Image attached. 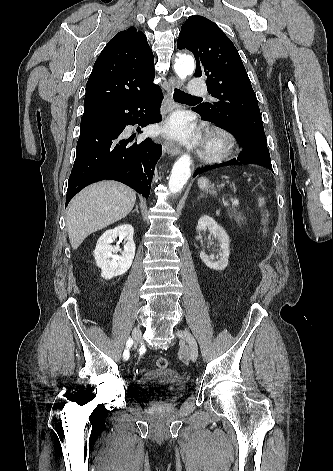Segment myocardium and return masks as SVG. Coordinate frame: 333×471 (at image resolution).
<instances>
[{
  "mask_svg": "<svg viewBox=\"0 0 333 471\" xmlns=\"http://www.w3.org/2000/svg\"><path fill=\"white\" fill-rule=\"evenodd\" d=\"M235 146V138L230 132L219 127H213L204 136L201 157L207 162L221 161L233 153Z\"/></svg>",
  "mask_w": 333,
  "mask_h": 471,
  "instance_id": "f54148a6",
  "label": "myocardium"
}]
</instances>
